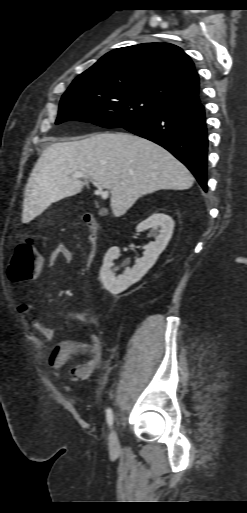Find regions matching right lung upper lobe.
Wrapping results in <instances>:
<instances>
[{
	"instance_id": "cb5924a9",
	"label": "right lung upper lobe",
	"mask_w": 247,
	"mask_h": 513,
	"mask_svg": "<svg viewBox=\"0 0 247 513\" xmlns=\"http://www.w3.org/2000/svg\"><path fill=\"white\" fill-rule=\"evenodd\" d=\"M84 87L121 88L168 107L199 101V77L190 57L168 43H145L108 52L73 81Z\"/></svg>"
}]
</instances>
